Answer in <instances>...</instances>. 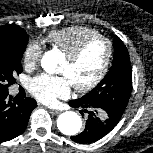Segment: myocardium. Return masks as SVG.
Listing matches in <instances>:
<instances>
[{
	"label": "myocardium",
	"mask_w": 153,
	"mask_h": 153,
	"mask_svg": "<svg viewBox=\"0 0 153 153\" xmlns=\"http://www.w3.org/2000/svg\"><path fill=\"white\" fill-rule=\"evenodd\" d=\"M98 40L104 41L107 45V55H106L105 61L100 71L94 77L93 80H91L89 83L85 85H73L74 89L78 92H81V93L89 92L93 90L94 88H96L102 82V80L107 75L110 69L111 63H112L113 54H114V45H113L112 40L109 39L108 37L101 35V34H97V35H93V36L86 38L80 44H78L71 52L66 54V59L70 63H73L77 59H79V57L83 54V52L86 50V48L90 44Z\"/></svg>",
	"instance_id": "myocardium-1"
}]
</instances>
